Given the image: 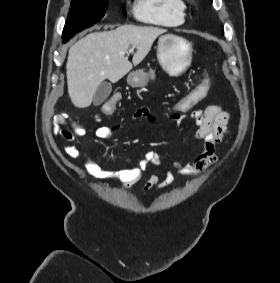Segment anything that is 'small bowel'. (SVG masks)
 I'll use <instances>...</instances> for the list:
<instances>
[{
  "label": "small bowel",
  "instance_id": "c3829d8e",
  "mask_svg": "<svg viewBox=\"0 0 280 283\" xmlns=\"http://www.w3.org/2000/svg\"><path fill=\"white\" fill-rule=\"evenodd\" d=\"M193 109V108H192ZM189 113L195 121L197 130L193 137L204 142L203 150L188 162H173V169L184 175L192 176L201 173L219 160L217 155L218 146L229 135L230 113L221 109L218 105H209L204 110H192V112H166L165 120L181 123ZM146 120L151 125H157L161 119L153 114L148 108L141 107L132 115V120ZM123 127L122 124L113 126H100L95 130L96 138L110 140ZM70 158H78L80 151L76 145H70L66 149ZM84 164L88 173L95 178L112 179L121 182L125 188L136 184L143 176L149 166H159L162 159L158 152L147 151L139 164L133 168L120 170H105L91 156L84 157ZM174 178L171 170H166L164 177L152 174L144 185V191L150 192L154 188H164Z\"/></svg>",
  "mask_w": 280,
  "mask_h": 283
}]
</instances>
